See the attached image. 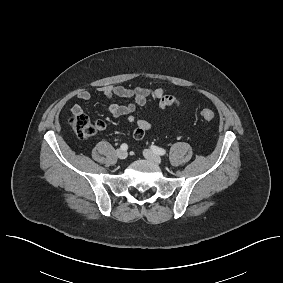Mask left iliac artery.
<instances>
[{
	"instance_id": "obj_1",
	"label": "left iliac artery",
	"mask_w": 283,
	"mask_h": 283,
	"mask_svg": "<svg viewBox=\"0 0 283 283\" xmlns=\"http://www.w3.org/2000/svg\"><path fill=\"white\" fill-rule=\"evenodd\" d=\"M151 150L154 152V153H156V154H158V155H165L166 154V150H164V149H162V148H159V147H157V146H151Z\"/></svg>"
}]
</instances>
